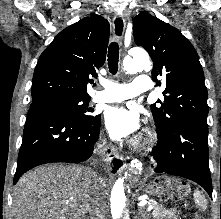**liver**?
<instances>
[{
  "mask_svg": "<svg viewBox=\"0 0 221 219\" xmlns=\"http://www.w3.org/2000/svg\"><path fill=\"white\" fill-rule=\"evenodd\" d=\"M94 173L84 166L58 164L27 172L14 188L11 217L74 219L88 213L96 198L105 211L107 183Z\"/></svg>",
  "mask_w": 221,
  "mask_h": 219,
  "instance_id": "liver-1",
  "label": "liver"
}]
</instances>
